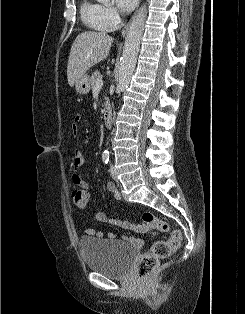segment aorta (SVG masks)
I'll return each mask as SVG.
<instances>
[{
    "label": "aorta",
    "mask_w": 245,
    "mask_h": 314,
    "mask_svg": "<svg viewBox=\"0 0 245 314\" xmlns=\"http://www.w3.org/2000/svg\"><path fill=\"white\" fill-rule=\"evenodd\" d=\"M101 3H108L110 0H97ZM147 17V8L144 4L137 12L130 23L127 37L123 48V54L118 69V85L117 90L123 92L129 85L133 75L141 37L144 30L145 20Z\"/></svg>",
    "instance_id": "aorta-1"
}]
</instances>
